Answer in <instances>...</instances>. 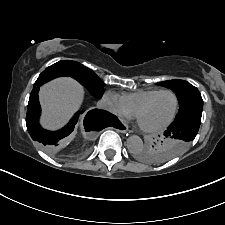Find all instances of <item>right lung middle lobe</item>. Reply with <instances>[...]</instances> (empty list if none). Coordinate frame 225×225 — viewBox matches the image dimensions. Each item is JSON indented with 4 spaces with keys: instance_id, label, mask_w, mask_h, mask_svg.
Here are the masks:
<instances>
[{
    "instance_id": "dd1d6c3e",
    "label": "right lung middle lobe",
    "mask_w": 225,
    "mask_h": 225,
    "mask_svg": "<svg viewBox=\"0 0 225 225\" xmlns=\"http://www.w3.org/2000/svg\"><path fill=\"white\" fill-rule=\"evenodd\" d=\"M43 72L60 73L65 76H70L85 86L91 94L96 96H102L104 92L105 83L92 70L75 61H59L46 68Z\"/></svg>"
}]
</instances>
